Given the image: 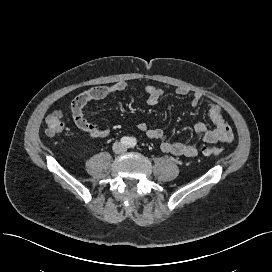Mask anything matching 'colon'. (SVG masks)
I'll list each match as a JSON object with an SVG mask.
<instances>
[{"mask_svg":"<svg viewBox=\"0 0 272 272\" xmlns=\"http://www.w3.org/2000/svg\"><path fill=\"white\" fill-rule=\"evenodd\" d=\"M63 113L60 110L54 111L45 120V132L49 136H55L60 134L64 129L63 124ZM220 149L216 147H203L202 153L204 155H214L217 156L220 154Z\"/></svg>","mask_w":272,"mask_h":272,"instance_id":"colon-1","label":"colon"}]
</instances>
